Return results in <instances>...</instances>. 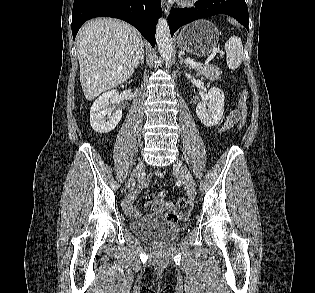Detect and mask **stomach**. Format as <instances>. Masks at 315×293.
<instances>
[{
	"mask_svg": "<svg viewBox=\"0 0 315 293\" xmlns=\"http://www.w3.org/2000/svg\"><path fill=\"white\" fill-rule=\"evenodd\" d=\"M218 41L217 27L207 20H199L186 25L177 35L178 47L199 57L210 55Z\"/></svg>",
	"mask_w": 315,
	"mask_h": 293,
	"instance_id": "stomach-1",
	"label": "stomach"
}]
</instances>
